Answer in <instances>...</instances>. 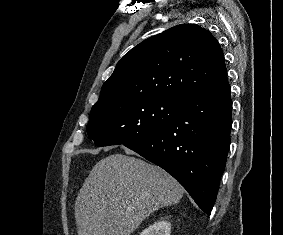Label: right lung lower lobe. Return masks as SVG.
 I'll use <instances>...</instances> for the list:
<instances>
[{
  "mask_svg": "<svg viewBox=\"0 0 283 235\" xmlns=\"http://www.w3.org/2000/svg\"><path fill=\"white\" fill-rule=\"evenodd\" d=\"M231 112L227 80L182 98L166 125L124 145L166 170L210 215L230 146Z\"/></svg>",
  "mask_w": 283,
  "mask_h": 235,
  "instance_id": "obj_1",
  "label": "right lung lower lobe"
}]
</instances>
